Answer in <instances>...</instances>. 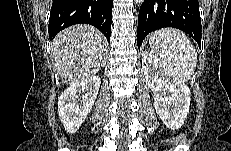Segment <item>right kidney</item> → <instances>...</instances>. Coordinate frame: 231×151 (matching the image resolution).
Here are the masks:
<instances>
[{
  "label": "right kidney",
  "mask_w": 231,
  "mask_h": 151,
  "mask_svg": "<svg viewBox=\"0 0 231 151\" xmlns=\"http://www.w3.org/2000/svg\"><path fill=\"white\" fill-rule=\"evenodd\" d=\"M100 84L99 76H91L70 85L61 94L58 101V114L67 132L75 133L87 118Z\"/></svg>",
  "instance_id": "1"
}]
</instances>
